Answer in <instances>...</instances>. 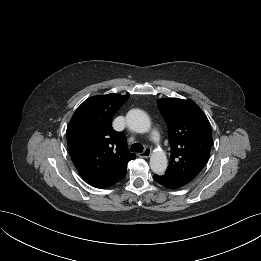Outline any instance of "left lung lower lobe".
<instances>
[{"label":"left lung lower lobe","mask_w":261,"mask_h":261,"mask_svg":"<svg viewBox=\"0 0 261 261\" xmlns=\"http://www.w3.org/2000/svg\"><path fill=\"white\" fill-rule=\"evenodd\" d=\"M154 179L156 182H158L159 184L163 185L166 188H170V189H177L180 188L182 186H184L185 184L175 178H172L170 176L167 175H154Z\"/></svg>","instance_id":"0a47b994"}]
</instances>
